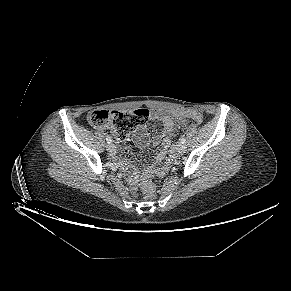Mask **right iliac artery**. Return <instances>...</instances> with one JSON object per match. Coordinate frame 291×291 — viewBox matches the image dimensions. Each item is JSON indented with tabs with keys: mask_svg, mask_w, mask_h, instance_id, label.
<instances>
[{
	"mask_svg": "<svg viewBox=\"0 0 291 291\" xmlns=\"http://www.w3.org/2000/svg\"><path fill=\"white\" fill-rule=\"evenodd\" d=\"M106 141H107L108 144H110L112 142L111 138L108 137V136L106 137Z\"/></svg>",
	"mask_w": 291,
	"mask_h": 291,
	"instance_id": "obj_1",
	"label": "right iliac artery"
}]
</instances>
